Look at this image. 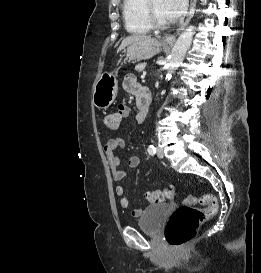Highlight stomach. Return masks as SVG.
I'll return each instance as SVG.
<instances>
[{"instance_id": "0dacf381", "label": "stomach", "mask_w": 261, "mask_h": 273, "mask_svg": "<svg viewBox=\"0 0 261 273\" xmlns=\"http://www.w3.org/2000/svg\"><path fill=\"white\" fill-rule=\"evenodd\" d=\"M164 44L161 40L150 38L136 41L124 48V62L149 59L158 54ZM118 92V81L114 72H104L93 86V104L98 109H107L115 100Z\"/></svg>"}]
</instances>
